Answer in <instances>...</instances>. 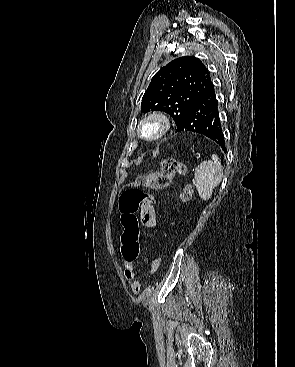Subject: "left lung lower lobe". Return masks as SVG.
<instances>
[{"instance_id": "0a47b994", "label": "left lung lower lobe", "mask_w": 295, "mask_h": 367, "mask_svg": "<svg viewBox=\"0 0 295 367\" xmlns=\"http://www.w3.org/2000/svg\"><path fill=\"white\" fill-rule=\"evenodd\" d=\"M183 131L202 134L215 141L226 152L218 101L211 80L189 108L184 120L176 129V132Z\"/></svg>"}]
</instances>
